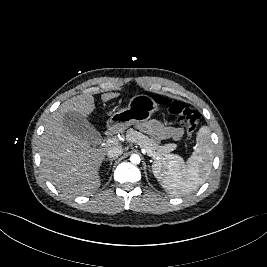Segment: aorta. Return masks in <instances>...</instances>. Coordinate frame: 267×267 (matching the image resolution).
I'll return each instance as SVG.
<instances>
[{
	"label": "aorta",
	"mask_w": 267,
	"mask_h": 267,
	"mask_svg": "<svg viewBox=\"0 0 267 267\" xmlns=\"http://www.w3.org/2000/svg\"><path fill=\"white\" fill-rule=\"evenodd\" d=\"M130 161H131V163H133V164H139L140 161H141V159H140V156H139V155H137V154H133V155H131V157H130Z\"/></svg>",
	"instance_id": "1"
}]
</instances>
